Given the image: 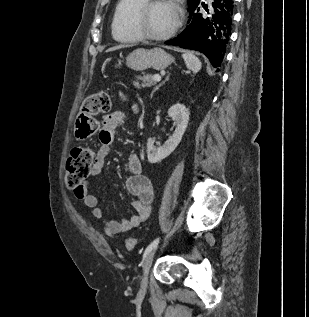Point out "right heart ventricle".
Returning a JSON list of instances; mask_svg holds the SVG:
<instances>
[{"instance_id":"1","label":"right heart ventricle","mask_w":309,"mask_h":317,"mask_svg":"<svg viewBox=\"0 0 309 317\" xmlns=\"http://www.w3.org/2000/svg\"><path fill=\"white\" fill-rule=\"evenodd\" d=\"M145 0H119L113 14L111 31L116 41L132 43L142 38L134 28V15Z\"/></svg>"}]
</instances>
